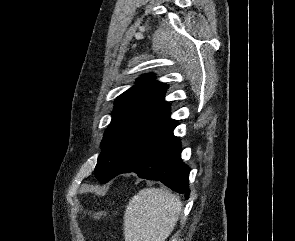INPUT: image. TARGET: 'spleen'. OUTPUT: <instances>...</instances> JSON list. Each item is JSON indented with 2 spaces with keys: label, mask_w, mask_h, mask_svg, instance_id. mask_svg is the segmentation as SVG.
<instances>
[{
  "label": "spleen",
  "mask_w": 295,
  "mask_h": 241,
  "mask_svg": "<svg viewBox=\"0 0 295 241\" xmlns=\"http://www.w3.org/2000/svg\"><path fill=\"white\" fill-rule=\"evenodd\" d=\"M182 210L178 197L165 189L144 188L126 207L125 241H165Z\"/></svg>",
  "instance_id": "spleen-1"
}]
</instances>
